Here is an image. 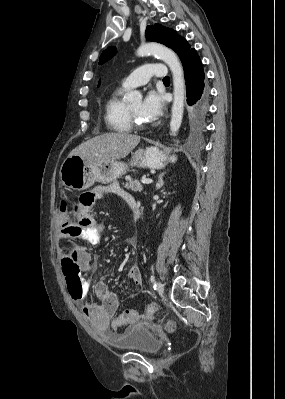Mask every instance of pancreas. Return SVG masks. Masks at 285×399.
Returning <instances> with one entry per match:
<instances>
[{
  "instance_id": "pancreas-1",
  "label": "pancreas",
  "mask_w": 285,
  "mask_h": 399,
  "mask_svg": "<svg viewBox=\"0 0 285 399\" xmlns=\"http://www.w3.org/2000/svg\"><path fill=\"white\" fill-rule=\"evenodd\" d=\"M125 180H126V183L124 185H125L126 189L136 191V192L137 191L141 192L143 190V186L140 184V182L133 180L130 177H126Z\"/></svg>"
}]
</instances>
